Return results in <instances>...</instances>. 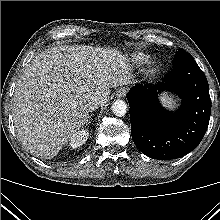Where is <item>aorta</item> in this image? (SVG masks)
I'll return each mask as SVG.
<instances>
[{"label": "aorta", "mask_w": 220, "mask_h": 220, "mask_svg": "<svg viewBox=\"0 0 220 220\" xmlns=\"http://www.w3.org/2000/svg\"><path fill=\"white\" fill-rule=\"evenodd\" d=\"M112 112L119 117L124 116L127 113V104L123 100H116L111 106Z\"/></svg>", "instance_id": "762f6f07"}]
</instances>
